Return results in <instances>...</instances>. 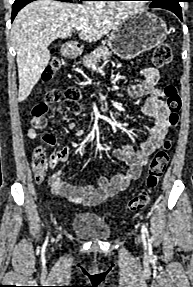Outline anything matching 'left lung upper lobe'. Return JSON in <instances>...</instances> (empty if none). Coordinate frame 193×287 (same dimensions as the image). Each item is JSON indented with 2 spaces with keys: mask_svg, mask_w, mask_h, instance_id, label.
I'll use <instances>...</instances> for the list:
<instances>
[{
  "mask_svg": "<svg viewBox=\"0 0 193 287\" xmlns=\"http://www.w3.org/2000/svg\"><path fill=\"white\" fill-rule=\"evenodd\" d=\"M152 1L150 4L151 8L159 7L161 5L171 4V3H179L181 0H149Z\"/></svg>",
  "mask_w": 193,
  "mask_h": 287,
  "instance_id": "1",
  "label": "left lung upper lobe"
}]
</instances>
